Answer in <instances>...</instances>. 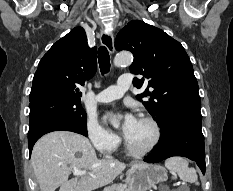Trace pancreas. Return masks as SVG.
<instances>
[{"label":"pancreas","instance_id":"obj_1","mask_svg":"<svg viewBox=\"0 0 233 191\" xmlns=\"http://www.w3.org/2000/svg\"><path fill=\"white\" fill-rule=\"evenodd\" d=\"M103 191H130V190L129 189L124 190V186L122 184H117L106 187Z\"/></svg>","mask_w":233,"mask_h":191}]
</instances>
